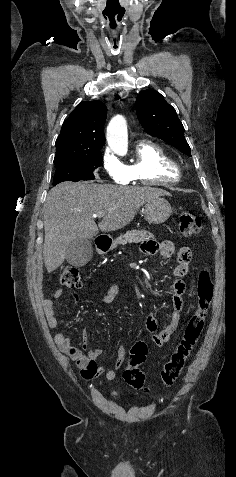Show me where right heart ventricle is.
<instances>
[{
	"label": "right heart ventricle",
	"mask_w": 236,
	"mask_h": 477,
	"mask_svg": "<svg viewBox=\"0 0 236 477\" xmlns=\"http://www.w3.org/2000/svg\"><path fill=\"white\" fill-rule=\"evenodd\" d=\"M127 169L131 176L127 184L171 185L181 177L176 162L167 151L148 140L136 146L135 158Z\"/></svg>",
	"instance_id": "1"
}]
</instances>
